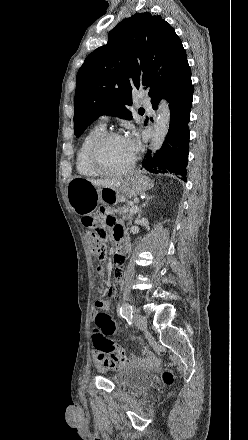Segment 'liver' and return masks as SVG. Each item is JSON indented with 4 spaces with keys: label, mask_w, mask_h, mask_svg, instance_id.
<instances>
[{
    "label": "liver",
    "mask_w": 248,
    "mask_h": 440,
    "mask_svg": "<svg viewBox=\"0 0 248 440\" xmlns=\"http://www.w3.org/2000/svg\"><path fill=\"white\" fill-rule=\"evenodd\" d=\"M90 182L97 187H113L119 185L121 180H90Z\"/></svg>",
    "instance_id": "6515ba94"
}]
</instances>
